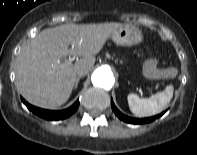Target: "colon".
I'll list each match as a JSON object with an SVG mask.
<instances>
[{
	"label": "colon",
	"instance_id": "colon-1",
	"mask_svg": "<svg viewBox=\"0 0 197 155\" xmlns=\"http://www.w3.org/2000/svg\"><path fill=\"white\" fill-rule=\"evenodd\" d=\"M151 64L156 65V61L155 60L151 61Z\"/></svg>",
	"mask_w": 197,
	"mask_h": 155
}]
</instances>
